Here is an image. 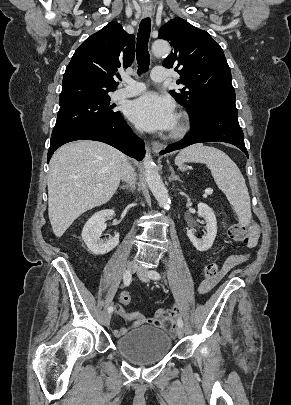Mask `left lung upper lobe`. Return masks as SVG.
I'll return each mask as SVG.
<instances>
[{"label": "left lung upper lobe", "mask_w": 291, "mask_h": 405, "mask_svg": "<svg viewBox=\"0 0 291 405\" xmlns=\"http://www.w3.org/2000/svg\"><path fill=\"white\" fill-rule=\"evenodd\" d=\"M158 38L170 41L173 47L163 66L178 71L177 84L184 87L170 93L188 109L190 120L200 119L208 102L235 101L231 71L223 50L206 31L177 17L160 28Z\"/></svg>", "instance_id": "left-lung-upper-lobe-1"}]
</instances>
